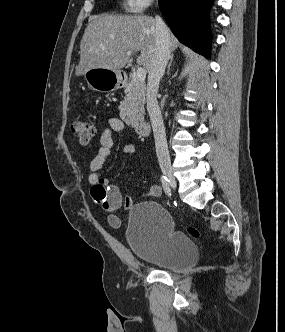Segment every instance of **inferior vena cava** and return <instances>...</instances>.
<instances>
[{
    "label": "inferior vena cava",
    "mask_w": 285,
    "mask_h": 332,
    "mask_svg": "<svg viewBox=\"0 0 285 332\" xmlns=\"http://www.w3.org/2000/svg\"><path fill=\"white\" fill-rule=\"evenodd\" d=\"M156 48L148 74L147 84V111L150 116L155 139L156 153L159 163H170V156L165 134V127L161 110L157 101L159 83L164 75L166 65L170 58L169 29L159 17H155Z\"/></svg>",
    "instance_id": "602c4592"
}]
</instances>
